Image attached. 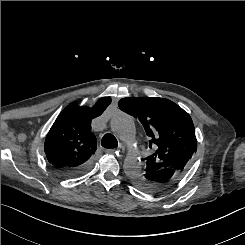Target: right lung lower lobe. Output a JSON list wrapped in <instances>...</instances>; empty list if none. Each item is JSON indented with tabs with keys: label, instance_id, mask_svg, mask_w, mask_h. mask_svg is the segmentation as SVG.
<instances>
[{
	"label": "right lung lower lobe",
	"instance_id": "98d812e1",
	"mask_svg": "<svg viewBox=\"0 0 245 245\" xmlns=\"http://www.w3.org/2000/svg\"><path fill=\"white\" fill-rule=\"evenodd\" d=\"M92 161L90 160L89 162L75 167V168H70V169H55L56 172H58L60 175L67 177V178H72V177H78L86 172H88L91 168Z\"/></svg>",
	"mask_w": 245,
	"mask_h": 245
}]
</instances>
